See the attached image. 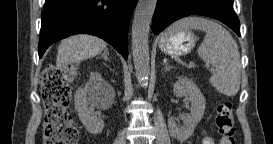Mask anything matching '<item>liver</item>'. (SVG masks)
Listing matches in <instances>:
<instances>
[{
	"label": "liver",
	"mask_w": 273,
	"mask_h": 144,
	"mask_svg": "<svg viewBox=\"0 0 273 144\" xmlns=\"http://www.w3.org/2000/svg\"><path fill=\"white\" fill-rule=\"evenodd\" d=\"M107 43L99 37L87 34L74 35L64 39L59 47L56 59L58 69L71 63H79L100 54Z\"/></svg>",
	"instance_id": "1"
}]
</instances>
